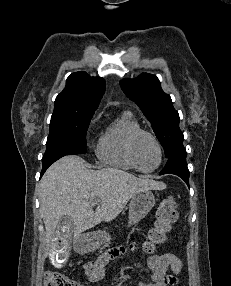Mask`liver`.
I'll use <instances>...</instances> for the list:
<instances>
[{
    "instance_id": "6515ba94",
    "label": "liver",
    "mask_w": 231,
    "mask_h": 286,
    "mask_svg": "<svg viewBox=\"0 0 231 286\" xmlns=\"http://www.w3.org/2000/svg\"><path fill=\"white\" fill-rule=\"evenodd\" d=\"M166 185L142 179L117 168L87 169L79 156H65L51 165L40 183V213L47 244L54 245L60 219H73V238L101 221L115 219L133 195L144 190H163ZM99 204L93 211L92 203Z\"/></svg>"
}]
</instances>
